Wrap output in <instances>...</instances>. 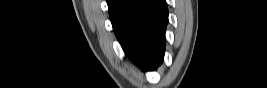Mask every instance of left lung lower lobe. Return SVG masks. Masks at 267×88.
<instances>
[{
    "label": "left lung lower lobe",
    "mask_w": 267,
    "mask_h": 88,
    "mask_svg": "<svg viewBox=\"0 0 267 88\" xmlns=\"http://www.w3.org/2000/svg\"><path fill=\"white\" fill-rule=\"evenodd\" d=\"M114 33L127 56L148 70L162 62L168 22L165 0H108Z\"/></svg>",
    "instance_id": "left-lung-lower-lobe-1"
}]
</instances>
